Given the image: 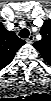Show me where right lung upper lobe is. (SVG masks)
Listing matches in <instances>:
<instances>
[{
  "mask_svg": "<svg viewBox=\"0 0 51 101\" xmlns=\"http://www.w3.org/2000/svg\"><path fill=\"white\" fill-rule=\"evenodd\" d=\"M25 44L13 31H8L0 24V69L6 67L16 52Z\"/></svg>",
  "mask_w": 51,
  "mask_h": 101,
  "instance_id": "1",
  "label": "right lung upper lobe"
}]
</instances>
